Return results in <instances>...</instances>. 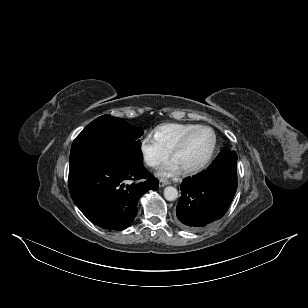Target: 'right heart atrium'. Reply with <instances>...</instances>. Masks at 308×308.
<instances>
[{
	"instance_id": "1",
	"label": "right heart atrium",
	"mask_w": 308,
	"mask_h": 308,
	"mask_svg": "<svg viewBox=\"0 0 308 308\" xmlns=\"http://www.w3.org/2000/svg\"><path fill=\"white\" fill-rule=\"evenodd\" d=\"M139 152L144 163L150 168L157 167L169 157V152L151 134L141 138Z\"/></svg>"
}]
</instances>
